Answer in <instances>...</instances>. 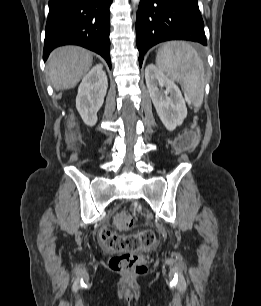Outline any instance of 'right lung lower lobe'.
<instances>
[{
	"instance_id": "1",
	"label": "right lung lower lobe",
	"mask_w": 261,
	"mask_h": 306,
	"mask_svg": "<svg viewBox=\"0 0 261 306\" xmlns=\"http://www.w3.org/2000/svg\"><path fill=\"white\" fill-rule=\"evenodd\" d=\"M111 3L112 0H49L44 61L54 48L74 44L100 54L111 68Z\"/></svg>"
}]
</instances>
